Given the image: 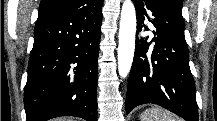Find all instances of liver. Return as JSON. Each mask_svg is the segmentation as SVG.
Masks as SVG:
<instances>
[{
	"label": "liver",
	"instance_id": "1",
	"mask_svg": "<svg viewBox=\"0 0 217 121\" xmlns=\"http://www.w3.org/2000/svg\"><path fill=\"white\" fill-rule=\"evenodd\" d=\"M57 121H69L68 118H58Z\"/></svg>",
	"mask_w": 217,
	"mask_h": 121
}]
</instances>
